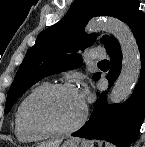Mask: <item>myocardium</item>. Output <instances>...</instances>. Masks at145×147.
<instances>
[{"instance_id": "myocardium-1", "label": "myocardium", "mask_w": 145, "mask_h": 147, "mask_svg": "<svg viewBox=\"0 0 145 147\" xmlns=\"http://www.w3.org/2000/svg\"><path fill=\"white\" fill-rule=\"evenodd\" d=\"M64 90H76V88L70 83L49 84L38 89L27 98L23 107L22 117L29 129L43 132L48 136H64L75 132L83 126L88 116V109L86 105H84L83 113L80 119L75 124L66 128L56 127L48 122L44 117L34 113L35 103L39 99Z\"/></svg>"}]
</instances>
